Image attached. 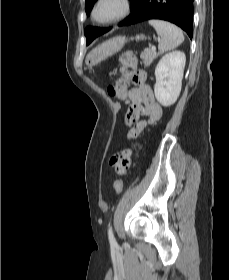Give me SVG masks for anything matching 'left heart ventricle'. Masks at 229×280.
Masks as SVG:
<instances>
[{
  "label": "left heart ventricle",
  "instance_id": "b2bd125f",
  "mask_svg": "<svg viewBox=\"0 0 229 280\" xmlns=\"http://www.w3.org/2000/svg\"><path fill=\"white\" fill-rule=\"evenodd\" d=\"M119 8V4L116 2H107L100 7L97 12L99 18H105L115 13Z\"/></svg>",
  "mask_w": 229,
  "mask_h": 280
}]
</instances>
